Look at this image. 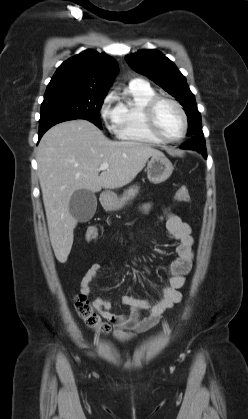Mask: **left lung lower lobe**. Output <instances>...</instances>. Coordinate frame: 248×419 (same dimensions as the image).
<instances>
[{
  "label": "left lung lower lobe",
  "instance_id": "0a47b994",
  "mask_svg": "<svg viewBox=\"0 0 248 419\" xmlns=\"http://www.w3.org/2000/svg\"><path fill=\"white\" fill-rule=\"evenodd\" d=\"M180 148L196 150L202 153L205 158H207L205 141L201 137L193 138L192 140L183 144Z\"/></svg>",
  "mask_w": 248,
  "mask_h": 419
}]
</instances>
